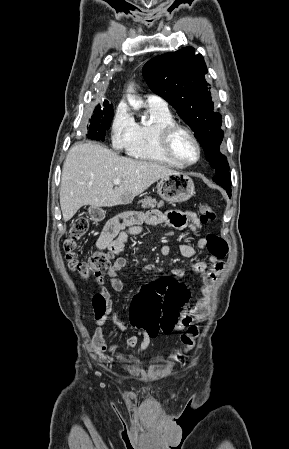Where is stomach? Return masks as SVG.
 Returning <instances> with one entry per match:
<instances>
[{"mask_svg":"<svg viewBox=\"0 0 289 449\" xmlns=\"http://www.w3.org/2000/svg\"><path fill=\"white\" fill-rule=\"evenodd\" d=\"M157 193L168 202H185L195 194L194 182L184 173L168 175L160 179Z\"/></svg>","mask_w":289,"mask_h":449,"instance_id":"stomach-1","label":"stomach"}]
</instances>
